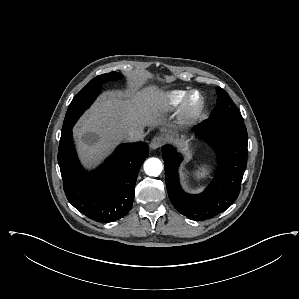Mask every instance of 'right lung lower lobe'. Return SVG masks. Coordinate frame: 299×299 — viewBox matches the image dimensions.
Segmentation results:
<instances>
[{
    "label": "right lung lower lobe",
    "mask_w": 299,
    "mask_h": 299,
    "mask_svg": "<svg viewBox=\"0 0 299 299\" xmlns=\"http://www.w3.org/2000/svg\"><path fill=\"white\" fill-rule=\"evenodd\" d=\"M149 146L145 142L122 144L90 176L77 159L72 131L61 136L58 163L69 202L98 222H112L132 207L135 183Z\"/></svg>",
    "instance_id": "1"
}]
</instances>
